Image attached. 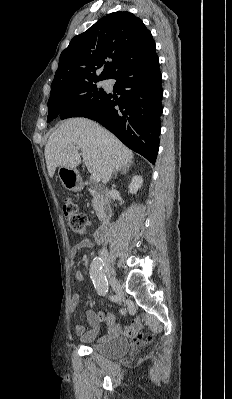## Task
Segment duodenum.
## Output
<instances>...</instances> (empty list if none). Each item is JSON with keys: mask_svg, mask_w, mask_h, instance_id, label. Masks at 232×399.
I'll return each instance as SVG.
<instances>
[{"mask_svg": "<svg viewBox=\"0 0 232 399\" xmlns=\"http://www.w3.org/2000/svg\"><path fill=\"white\" fill-rule=\"evenodd\" d=\"M110 230H111L110 223H106V224L100 226L94 233V240L96 242L105 241L110 233Z\"/></svg>", "mask_w": 232, "mask_h": 399, "instance_id": "duodenum-1", "label": "duodenum"}]
</instances>
